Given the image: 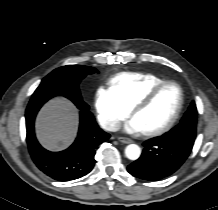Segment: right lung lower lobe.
<instances>
[{
	"label": "right lung lower lobe",
	"instance_id": "1",
	"mask_svg": "<svg viewBox=\"0 0 218 210\" xmlns=\"http://www.w3.org/2000/svg\"><path fill=\"white\" fill-rule=\"evenodd\" d=\"M54 96L40 95L31 98L26 109V141L32 160L49 177L69 181L88 174L95 165V153L99 144L110 135L96 124L89 106L82 99H70L80 109V126L75 142L61 152H50L37 141L34 131L35 117L42 105Z\"/></svg>",
	"mask_w": 218,
	"mask_h": 210
}]
</instances>
